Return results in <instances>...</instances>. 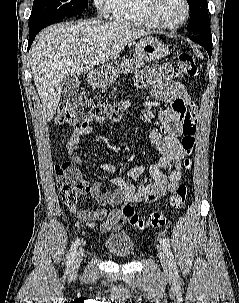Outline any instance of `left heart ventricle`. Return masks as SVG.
<instances>
[{
    "label": "left heart ventricle",
    "mask_w": 239,
    "mask_h": 303,
    "mask_svg": "<svg viewBox=\"0 0 239 303\" xmlns=\"http://www.w3.org/2000/svg\"><path fill=\"white\" fill-rule=\"evenodd\" d=\"M157 15L166 24H177L185 17L183 0H159Z\"/></svg>",
    "instance_id": "1"
}]
</instances>
